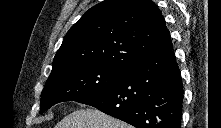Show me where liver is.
<instances>
[{
	"label": "liver",
	"instance_id": "obj_1",
	"mask_svg": "<svg viewBox=\"0 0 221 128\" xmlns=\"http://www.w3.org/2000/svg\"><path fill=\"white\" fill-rule=\"evenodd\" d=\"M55 128H132L95 108L79 109L65 116Z\"/></svg>",
	"mask_w": 221,
	"mask_h": 128
}]
</instances>
